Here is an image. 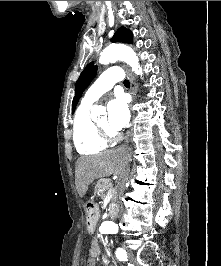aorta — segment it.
Here are the masks:
<instances>
[{
  "label": "aorta",
  "instance_id": "obj_1",
  "mask_svg": "<svg viewBox=\"0 0 221 266\" xmlns=\"http://www.w3.org/2000/svg\"><path fill=\"white\" fill-rule=\"evenodd\" d=\"M117 60L126 62L131 66L132 70L136 74H142V70L139 65L138 57L135 52L128 46L123 44H111L107 46L101 53L99 57L100 64H109ZM100 112L98 107L92 109V116H96ZM100 230L109 233L115 234L119 231L118 225L113 221L103 222L100 226Z\"/></svg>",
  "mask_w": 221,
  "mask_h": 266
}]
</instances>
